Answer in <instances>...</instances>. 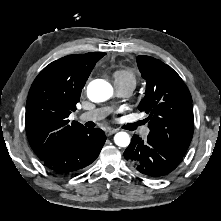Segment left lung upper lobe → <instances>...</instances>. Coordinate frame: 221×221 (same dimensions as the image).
Returning <instances> with one entry per match:
<instances>
[{
    "mask_svg": "<svg viewBox=\"0 0 221 221\" xmlns=\"http://www.w3.org/2000/svg\"><path fill=\"white\" fill-rule=\"evenodd\" d=\"M146 80L145 97L138 109L149 116V137L184 156L192 140L194 117L192 97L180 76L167 64L150 56L137 57Z\"/></svg>",
    "mask_w": 221,
    "mask_h": 221,
    "instance_id": "obj_1",
    "label": "left lung upper lobe"
}]
</instances>
